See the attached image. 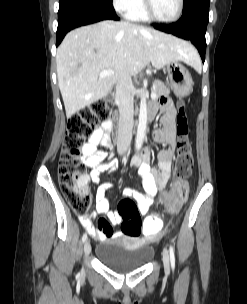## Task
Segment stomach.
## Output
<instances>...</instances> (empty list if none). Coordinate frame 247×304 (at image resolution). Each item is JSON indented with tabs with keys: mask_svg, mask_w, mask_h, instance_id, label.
<instances>
[{
	"mask_svg": "<svg viewBox=\"0 0 247 304\" xmlns=\"http://www.w3.org/2000/svg\"><path fill=\"white\" fill-rule=\"evenodd\" d=\"M166 71L175 95L179 97L187 96L192 90L193 81L186 67L175 61L167 64Z\"/></svg>",
	"mask_w": 247,
	"mask_h": 304,
	"instance_id": "0dacf381",
	"label": "stomach"
}]
</instances>
